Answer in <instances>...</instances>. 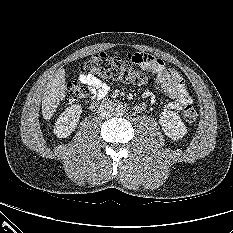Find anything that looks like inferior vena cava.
Segmentation results:
<instances>
[{"mask_svg":"<svg viewBox=\"0 0 233 233\" xmlns=\"http://www.w3.org/2000/svg\"><path fill=\"white\" fill-rule=\"evenodd\" d=\"M113 111H114V109L110 105L102 106L99 109V114L102 118H107L113 114Z\"/></svg>","mask_w":233,"mask_h":233,"instance_id":"obj_1","label":"inferior vena cava"}]
</instances>
